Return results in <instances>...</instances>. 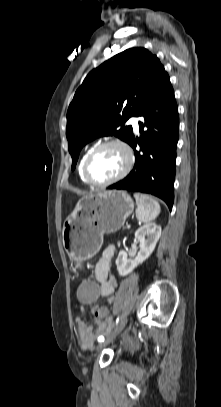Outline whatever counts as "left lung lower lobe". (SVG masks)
<instances>
[{
    "instance_id": "1",
    "label": "left lung lower lobe",
    "mask_w": 221,
    "mask_h": 407,
    "mask_svg": "<svg viewBox=\"0 0 221 407\" xmlns=\"http://www.w3.org/2000/svg\"><path fill=\"white\" fill-rule=\"evenodd\" d=\"M138 116L141 140L133 136L129 144L135 150V166L123 180L110 185L109 189H124L155 195L172 209L174 201V179L176 147L178 142V107L169 76H165L156 92ZM146 127L147 130L143 131Z\"/></svg>"
}]
</instances>
